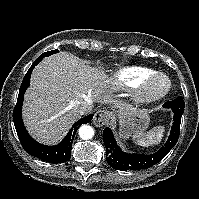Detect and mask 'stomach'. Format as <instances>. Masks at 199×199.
<instances>
[{"instance_id": "stomach-1", "label": "stomach", "mask_w": 199, "mask_h": 199, "mask_svg": "<svg viewBox=\"0 0 199 199\" xmlns=\"http://www.w3.org/2000/svg\"><path fill=\"white\" fill-rule=\"evenodd\" d=\"M113 118L118 120L119 135L123 138L145 131L150 123L148 111L131 104L118 107L113 112Z\"/></svg>"}]
</instances>
